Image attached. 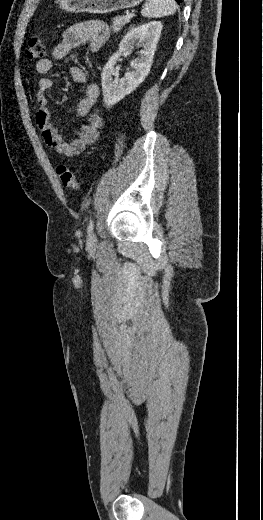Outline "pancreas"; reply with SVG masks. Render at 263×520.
<instances>
[{"label":"pancreas","instance_id":"pancreas-1","mask_svg":"<svg viewBox=\"0 0 263 520\" xmlns=\"http://www.w3.org/2000/svg\"><path fill=\"white\" fill-rule=\"evenodd\" d=\"M130 19L131 18H127L126 16H118L113 18L111 25L112 31L114 33L120 31L123 26L130 22Z\"/></svg>","mask_w":263,"mask_h":520}]
</instances>
